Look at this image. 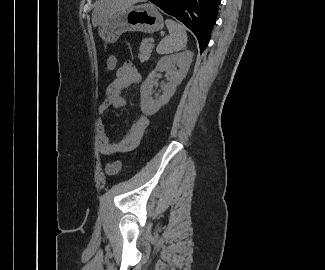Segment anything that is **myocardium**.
<instances>
[{
	"instance_id": "myocardium-1",
	"label": "myocardium",
	"mask_w": 325,
	"mask_h": 270,
	"mask_svg": "<svg viewBox=\"0 0 325 270\" xmlns=\"http://www.w3.org/2000/svg\"><path fill=\"white\" fill-rule=\"evenodd\" d=\"M129 2H138V1H145V0H128Z\"/></svg>"
}]
</instances>
